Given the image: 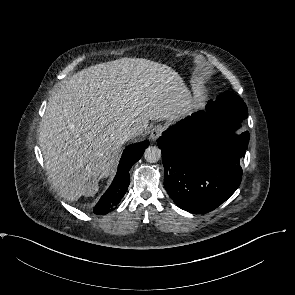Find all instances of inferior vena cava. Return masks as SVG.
<instances>
[{"mask_svg": "<svg viewBox=\"0 0 295 295\" xmlns=\"http://www.w3.org/2000/svg\"><path fill=\"white\" fill-rule=\"evenodd\" d=\"M138 134V130L135 128H127L125 129L121 134H119L116 138V142L118 144H124L126 141H128L130 138L134 137Z\"/></svg>", "mask_w": 295, "mask_h": 295, "instance_id": "602c4592", "label": "inferior vena cava"}]
</instances>
